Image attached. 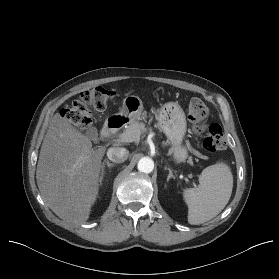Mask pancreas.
<instances>
[{
    "instance_id": "cf45deb5",
    "label": "pancreas",
    "mask_w": 279,
    "mask_h": 279,
    "mask_svg": "<svg viewBox=\"0 0 279 279\" xmlns=\"http://www.w3.org/2000/svg\"><path fill=\"white\" fill-rule=\"evenodd\" d=\"M145 124L142 122H133L130 125L127 126V128L124 130L125 132H130L134 136V140H137L141 134L146 132Z\"/></svg>"
}]
</instances>
